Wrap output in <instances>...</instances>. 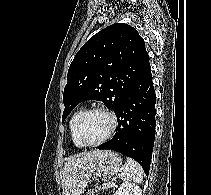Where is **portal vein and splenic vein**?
Listing matches in <instances>:
<instances>
[{
  "instance_id": "obj_1",
  "label": "portal vein and splenic vein",
  "mask_w": 211,
  "mask_h": 195,
  "mask_svg": "<svg viewBox=\"0 0 211 195\" xmlns=\"http://www.w3.org/2000/svg\"><path fill=\"white\" fill-rule=\"evenodd\" d=\"M110 186L114 187L115 186V182H111Z\"/></svg>"
}]
</instances>
